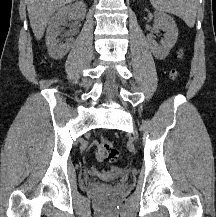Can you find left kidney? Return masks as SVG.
Here are the masks:
<instances>
[{"mask_svg":"<svg viewBox=\"0 0 216 217\" xmlns=\"http://www.w3.org/2000/svg\"><path fill=\"white\" fill-rule=\"evenodd\" d=\"M154 21L165 32L164 40L161 42V45H159L152 39L151 36H148L147 42L153 55L157 59L163 60L168 56L170 50L177 41L178 29L173 18L166 13L156 11L154 13Z\"/></svg>","mask_w":216,"mask_h":217,"instance_id":"5707ae66","label":"left kidney"}]
</instances>
